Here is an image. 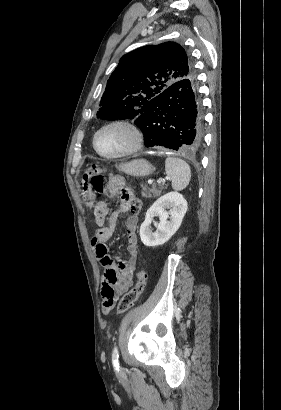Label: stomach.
Wrapping results in <instances>:
<instances>
[{
	"label": "stomach",
	"mask_w": 281,
	"mask_h": 410,
	"mask_svg": "<svg viewBox=\"0 0 281 410\" xmlns=\"http://www.w3.org/2000/svg\"><path fill=\"white\" fill-rule=\"evenodd\" d=\"M118 169L128 175L136 177H144L150 175L154 171V167L145 159H135L127 163H122Z\"/></svg>",
	"instance_id": "obj_1"
}]
</instances>
